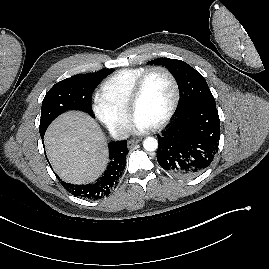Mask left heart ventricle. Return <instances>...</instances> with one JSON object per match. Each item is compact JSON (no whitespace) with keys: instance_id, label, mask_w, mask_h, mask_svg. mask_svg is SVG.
<instances>
[{"instance_id":"b2bd125f","label":"left heart ventricle","mask_w":269,"mask_h":269,"mask_svg":"<svg viewBox=\"0 0 269 269\" xmlns=\"http://www.w3.org/2000/svg\"><path fill=\"white\" fill-rule=\"evenodd\" d=\"M173 94L169 77L161 71L153 72L147 79L134 116L150 126L155 125L169 110Z\"/></svg>"}]
</instances>
